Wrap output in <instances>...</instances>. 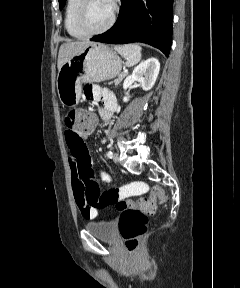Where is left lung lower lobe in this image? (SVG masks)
Masks as SVG:
<instances>
[{
    "instance_id": "obj_1",
    "label": "left lung lower lobe",
    "mask_w": 240,
    "mask_h": 288,
    "mask_svg": "<svg viewBox=\"0 0 240 288\" xmlns=\"http://www.w3.org/2000/svg\"><path fill=\"white\" fill-rule=\"evenodd\" d=\"M173 0H121L115 24L92 41L110 44L142 42L166 56L172 43Z\"/></svg>"
}]
</instances>
